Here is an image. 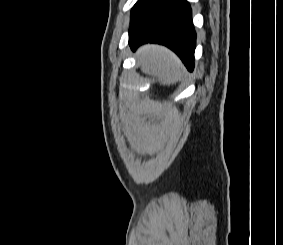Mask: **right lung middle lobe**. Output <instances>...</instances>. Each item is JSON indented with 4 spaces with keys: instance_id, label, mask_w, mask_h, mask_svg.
I'll return each mask as SVG.
<instances>
[{
    "instance_id": "dd1d6c3e",
    "label": "right lung middle lobe",
    "mask_w": 283,
    "mask_h": 245,
    "mask_svg": "<svg viewBox=\"0 0 283 245\" xmlns=\"http://www.w3.org/2000/svg\"><path fill=\"white\" fill-rule=\"evenodd\" d=\"M154 0H138L131 11V19L151 4Z\"/></svg>"
}]
</instances>
